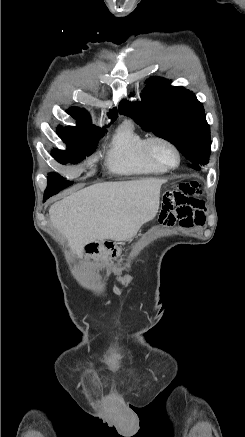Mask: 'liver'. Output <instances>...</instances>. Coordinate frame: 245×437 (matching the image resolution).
Returning a JSON list of instances; mask_svg holds the SVG:
<instances>
[{
  "label": "liver",
  "mask_w": 245,
  "mask_h": 437,
  "mask_svg": "<svg viewBox=\"0 0 245 437\" xmlns=\"http://www.w3.org/2000/svg\"><path fill=\"white\" fill-rule=\"evenodd\" d=\"M163 183L146 178L86 187L55 202L49 209L50 221L82 258L87 243L134 238L156 216Z\"/></svg>",
  "instance_id": "1"
}]
</instances>
